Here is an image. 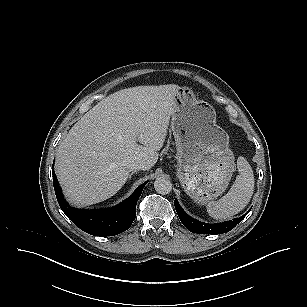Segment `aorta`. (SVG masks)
<instances>
[{"mask_svg":"<svg viewBox=\"0 0 307 307\" xmlns=\"http://www.w3.org/2000/svg\"><path fill=\"white\" fill-rule=\"evenodd\" d=\"M154 188L157 193L166 195L171 192L172 190V183L171 181L164 176H160L155 179L154 181Z\"/></svg>","mask_w":307,"mask_h":307,"instance_id":"obj_1","label":"aorta"}]
</instances>
